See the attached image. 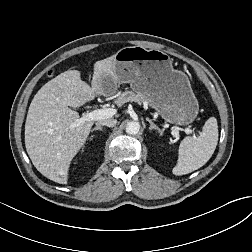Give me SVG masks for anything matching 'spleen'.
<instances>
[{
	"instance_id": "3e777b00",
	"label": "spleen",
	"mask_w": 252,
	"mask_h": 252,
	"mask_svg": "<svg viewBox=\"0 0 252 252\" xmlns=\"http://www.w3.org/2000/svg\"><path fill=\"white\" fill-rule=\"evenodd\" d=\"M218 143V125L215 117L209 118L198 139L185 137L178 149L177 165L173 168L174 175L191 173L203 165L213 155Z\"/></svg>"
}]
</instances>
